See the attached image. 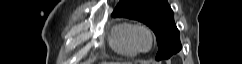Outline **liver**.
Here are the masks:
<instances>
[{
	"label": "liver",
	"mask_w": 242,
	"mask_h": 64,
	"mask_svg": "<svg viewBox=\"0 0 242 64\" xmlns=\"http://www.w3.org/2000/svg\"><path fill=\"white\" fill-rule=\"evenodd\" d=\"M104 64H118V63H104Z\"/></svg>",
	"instance_id": "6515ba94"
}]
</instances>
